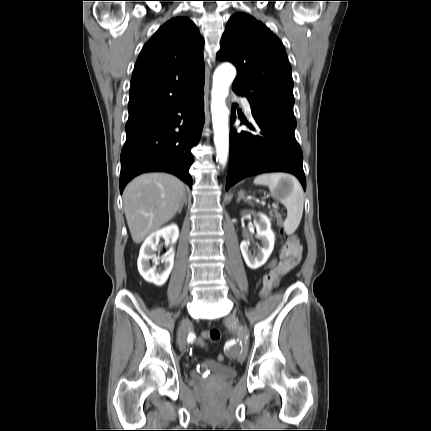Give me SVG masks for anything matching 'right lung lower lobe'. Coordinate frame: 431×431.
Wrapping results in <instances>:
<instances>
[{
  "instance_id": "obj_1",
  "label": "right lung lower lobe",
  "mask_w": 431,
  "mask_h": 431,
  "mask_svg": "<svg viewBox=\"0 0 431 431\" xmlns=\"http://www.w3.org/2000/svg\"><path fill=\"white\" fill-rule=\"evenodd\" d=\"M204 122V84L179 102L134 117L126 123L121 152L120 192L135 176L168 172L191 186L189 168Z\"/></svg>"
}]
</instances>
